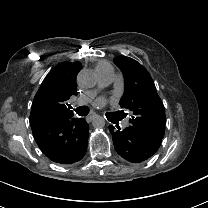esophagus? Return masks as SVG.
Returning a JSON list of instances; mask_svg holds the SVG:
<instances>
[{
	"mask_svg": "<svg viewBox=\"0 0 208 208\" xmlns=\"http://www.w3.org/2000/svg\"><path fill=\"white\" fill-rule=\"evenodd\" d=\"M96 116H97V114H91L86 119L88 122H91Z\"/></svg>",
	"mask_w": 208,
	"mask_h": 208,
	"instance_id": "obj_1",
	"label": "esophagus"
}]
</instances>
